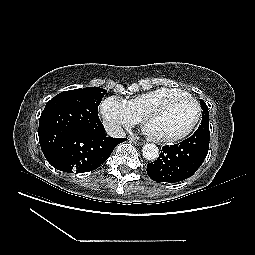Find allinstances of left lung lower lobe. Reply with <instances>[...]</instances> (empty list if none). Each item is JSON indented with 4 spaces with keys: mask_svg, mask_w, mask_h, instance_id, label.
<instances>
[{
    "mask_svg": "<svg viewBox=\"0 0 255 255\" xmlns=\"http://www.w3.org/2000/svg\"><path fill=\"white\" fill-rule=\"evenodd\" d=\"M209 122L202 123L184 141L163 146L158 159L147 164L149 177L157 182H179L191 177L203 163L209 149Z\"/></svg>",
    "mask_w": 255,
    "mask_h": 255,
    "instance_id": "1",
    "label": "left lung lower lobe"
}]
</instances>
